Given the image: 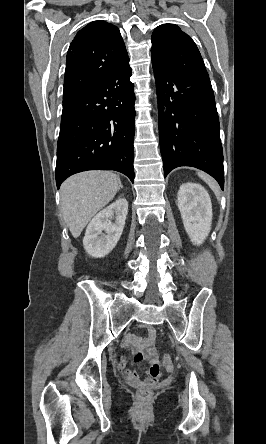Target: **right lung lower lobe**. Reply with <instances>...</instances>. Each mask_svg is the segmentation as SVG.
Segmentation results:
<instances>
[{
    "label": "right lung lower lobe",
    "mask_w": 266,
    "mask_h": 444,
    "mask_svg": "<svg viewBox=\"0 0 266 444\" xmlns=\"http://www.w3.org/2000/svg\"><path fill=\"white\" fill-rule=\"evenodd\" d=\"M129 59L108 77L63 105L56 184L86 170H115L134 181L135 94Z\"/></svg>",
    "instance_id": "right-lung-lower-lobe-1"
}]
</instances>
